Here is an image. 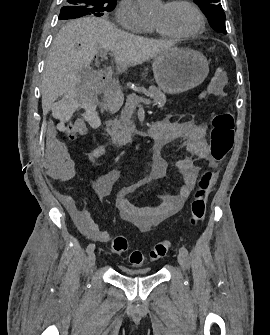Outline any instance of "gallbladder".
<instances>
[{
	"instance_id": "obj_1",
	"label": "gallbladder",
	"mask_w": 270,
	"mask_h": 335,
	"mask_svg": "<svg viewBox=\"0 0 270 335\" xmlns=\"http://www.w3.org/2000/svg\"><path fill=\"white\" fill-rule=\"evenodd\" d=\"M79 76H82V74H80V72H79Z\"/></svg>"
}]
</instances>
